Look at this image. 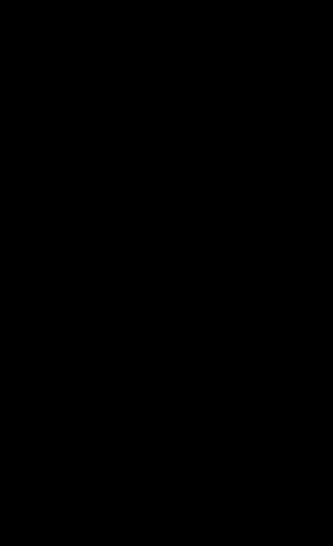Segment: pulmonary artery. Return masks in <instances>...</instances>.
<instances>
[{
	"label": "pulmonary artery",
	"mask_w": 333,
	"mask_h": 546,
	"mask_svg": "<svg viewBox=\"0 0 333 546\" xmlns=\"http://www.w3.org/2000/svg\"><path fill=\"white\" fill-rule=\"evenodd\" d=\"M75 14H89V13H83V12H80V13H75Z\"/></svg>",
	"instance_id": "1"
}]
</instances>
